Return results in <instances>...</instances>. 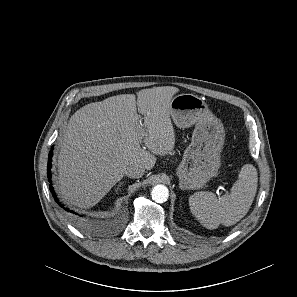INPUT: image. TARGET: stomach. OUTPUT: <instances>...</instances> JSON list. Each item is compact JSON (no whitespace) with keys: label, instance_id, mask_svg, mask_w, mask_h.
<instances>
[{"label":"stomach","instance_id":"0dacf381","mask_svg":"<svg viewBox=\"0 0 297 297\" xmlns=\"http://www.w3.org/2000/svg\"><path fill=\"white\" fill-rule=\"evenodd\" d=\"M170 115L179 128L195 125L192 141L176 169L181 189L197 190L217 175L224 127L197 95L179 94L170 103Z\"/></svg>","mask_w":297,"mask_h":297}]
</instances>
